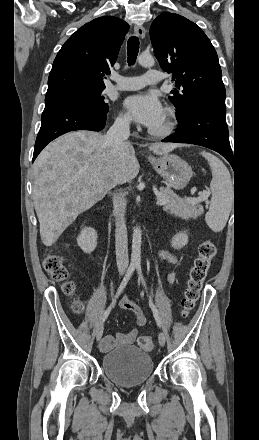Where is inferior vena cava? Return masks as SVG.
<instances>
[{"instance_id":"inferior-vena-cava-1","label":"inferior vena cava","mask_w":259,"mask_h":440,"mask_svg":"<svg viewBox=\"0 0 259 440\" xmlns=\"http://www.w3.org/2000/svg\"><path fill=\"white\" fill-rule=\"evenodd\" d=\"M130 121L128 119H117L105 135V140L115 151H120L127 145L130 136ZM113 209L116 217L115 249L116 262L119 271H124L129 265L128 239L125 223L126 201L120 194L113 195Z\"/></svg>"}]
</instances>
